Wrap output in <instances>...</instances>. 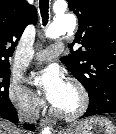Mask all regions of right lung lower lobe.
I'll list each match as a JSON object with an SVG mask.
<instances>
[{
    "instance_id": "right-lung-lower-lobe-1",
    "label": "right lung lower lobe",
    "mask_w": 116,
    "mask_h": 134,
    "mask_svg": "<svg viewBox=\"0 0 116 134\" xmlns=\"http://www.w3.org/2000/svg\"><path fill=\"white\" fill-rule=\"evenodd\" d=\"M0 117L6 118L14 123L18 122V116L16 114V111H15L13 105L4 109V111H1ZM24 127L27 130H31V131L35 130L34 125H31V124H26V125H24Z\"/></svg>"
}]
</instances>
